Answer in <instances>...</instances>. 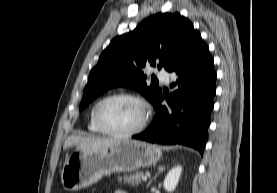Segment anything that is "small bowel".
<instances>
[{
  "label": "small bowel",
  "mask_w": 277,
  "mask_h": 193,
  "mask_svg": "<svg viewBox=\"0 0 277 193\" xmlns=\"http://www.w3.org/2000/svg\"><path fill=\"white\" fill-rule=\"evenodd\" d=\"M114 193H128V192L125 190H116Z\"/></svg>",
  "instance_id": "1"
}]
</instances>
